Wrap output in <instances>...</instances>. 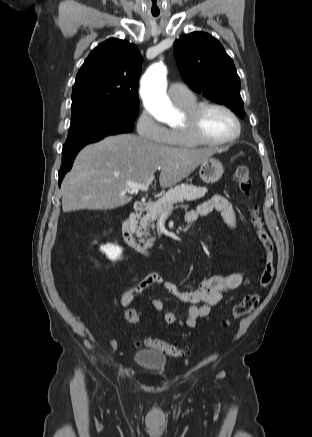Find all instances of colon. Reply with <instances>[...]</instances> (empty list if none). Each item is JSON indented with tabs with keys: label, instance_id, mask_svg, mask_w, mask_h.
Returning a JSON list of instances; mask_svg holds the SVG:
<instances>
[{
	"label": "colon",
	"instance_id": "1",
	"mask_svg": "<svg viewBox=\"0 0 312 437\" xmlns=\"http://www.w3.org/2000/svg\"><path fill=\"white\" fill-rule=\"evenodd\" d=\"M234 180L246 199L248 214L256 230L257 237L265 251L264 265L259 278V285L261 288H264L271 282L274 275V243L264 229L257 206H255L251 200L253 180L250 169L246 165L238 166L234 172ZM259 300L260 297L257 293L247 294L238 304L235 305L233 309V318L240 319L249 314L258 305ZM139 317V312L135 308H128L125 311V319L129 324H137ZM138 344L156 349L173 357H179L183 354V351L179 347L153 337H145L143 340L139 341Z\"/></svg>",
	"mask_w": 312,
	"mask_h": 437
}]
</instances>
